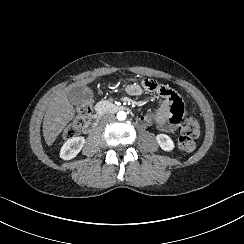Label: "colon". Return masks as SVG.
I'll return each instance as SVG.
<instances>
[{
    "mask_svg": "<svg viewBox=\"0 0 244 244\" xmlns=\"http://www.w3.org/2000/svg\"><path fill=\"white\" fill-rule=\"evenodd\" d=\"M90 111L91 101H83L78 107L74 120L66 127V134H76L84 119L89 115ZM179 133L180 136L177 140L179 149L184 152L194 151L196 147L195 138L200 133L199 122L194 117L186 115L179 126Z\"/></svg>",
    "mask_w": 244,
    "mask_h": 244,
    "instance_id": "5ec220e1",
    "label": "colon"
}]
</instances>
